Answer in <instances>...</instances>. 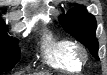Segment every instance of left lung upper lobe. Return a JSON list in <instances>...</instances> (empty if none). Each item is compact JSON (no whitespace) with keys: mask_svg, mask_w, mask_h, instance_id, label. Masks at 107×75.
Masks as SVG:
<instances>
[{"mask_svg":"<svg viewBox=\"0 0 107 75\" xmlns=\"http://www.w3.org/2000/svg\"><path fill=\"white\" fill-rule=\"evenodd\" d=\"M64 30L84 44L98 58V42L95 37L96 20L93 15L87 13L84 6H76L66 15L59 17Z\"/></svg>","mask_w":107,"mask_h":75,"instance_id":"1","label":"left lung upper lobe"}]
</instances>
